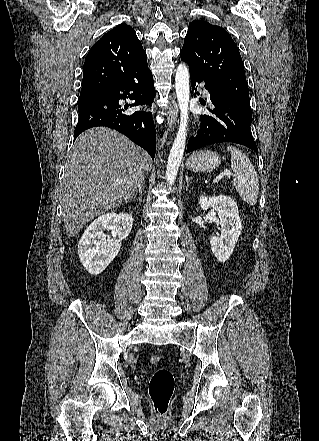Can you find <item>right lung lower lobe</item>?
Here are the masks:
<instances>
[{
    "label": "right lung lower lobe",
    "mask_w": 319,
    "mask_h": 441,
    "mask_svg": "<svg viewBox=\"0 0 319 441\" xmlns=\"http://www.w3.org/2000/svg\"><path fill=\"white\" fill-rule=\"evenodd\" d=\"M155 96L153 76L148 69L128 80L117 84L97 96L79 103L78 123L74 130V140L84 130L104 126L115 129L126 135L134 143L144 148L154 159L156 152V135L150 112L125 114L126 106L118 101L130 98L135 100L132 106L150 105Z\"/></svg>",
    "instance_id": "1"
}]
</instances>
